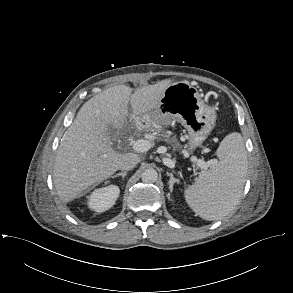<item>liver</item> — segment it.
<instances>
[{
    "label": "liver",
    "instance_id": "liver-1",
    "mask_svg": "<svg viewBox=\"0 0 293 293\" xmlns=\"http://www.w3.org/2000/svg\"><path fill=\"white\" fill-rule=\"evenodd\" d=\"M170 84L171 80H163L136 89L134 93L125 85L113 86L98 93L80 108L61 139L54 163L53 182L64 203L111 177L126 156L136 163L140 162L137 154H121L111 147L110 128L123 129L129 115V104L132 118L138 124L146 123Z\"/></svg>",
    "mask_w": 293,
    "mask_h": 293
}]
</instances>
